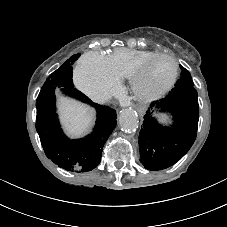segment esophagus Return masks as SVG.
Masks as SVG:
<instances>
[{"mask_svg":"<svg viewBox=\"0 0 227 227\" xmlns=\"http://www.w3.org/2000/svg\"><path fill=\"white\" fill-rule=\"evenodd\" d=\"M137 111L139 112L140 115H143L146 111V106L144 104H139L137 106Z\"/></svg>","mask_w":227,"mask_h":227,"instance_id":"34e87169","label":"esophagus"}]
</instances>
